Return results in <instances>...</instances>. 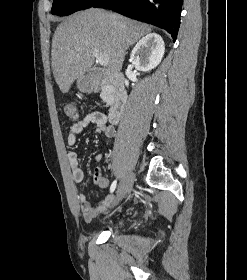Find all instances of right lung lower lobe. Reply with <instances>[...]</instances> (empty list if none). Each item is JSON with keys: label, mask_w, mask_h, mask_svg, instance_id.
<instances>
[{"label": "right lung lower lobe", "mask_w": 247, "mask_h": 280, "mask_svg": "<svg viewBox=\"0 0 247 280\" xmlns=\"http://www.w3.org/2000/svg\"><path fill=\"white\" fill-rule=\"evenodd\" d=\"M183 0H100L93 7L112 9L130 18L155 24L177 38Z\"/></svg>", "instance_id": "right-lung-lower-lobe-1"}]
</instances>
